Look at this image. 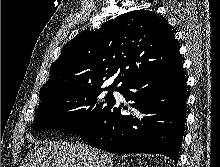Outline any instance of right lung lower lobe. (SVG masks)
I'll use <instances>...</instances> for the list:
<instances>
[{
  "label": "right lung lower lobe",
  "mask_w": 220,
  "mask_h": 167,
  "mask_svg": "<svg viewBox=\"0 0 220 167\" xmlns=\"http://www.w3.org/2000/svg\"><path fill=\"white\" fill-rule=\"evenodd\" d=\"M130 107L121 114L113 102L91 128L80 134L93 146L113 153L163 154L177 161L186 117V79L182 64L132 80L118 90Z\"/></svg>",
  "instance_id": "1"
}]
</instances>
